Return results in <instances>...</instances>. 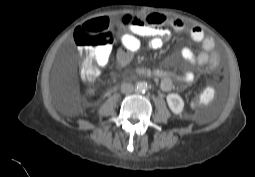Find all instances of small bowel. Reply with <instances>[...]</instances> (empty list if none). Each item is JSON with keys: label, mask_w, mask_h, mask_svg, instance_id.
I'll return each mask as SVG.
<instances>
[{"label": "small bowel", "mask_w": 255, "mask_h": 177, "mask_svg": "<svg viewBox=\"0 0 255 177\" xmlns=\"http://www.w3.org/2000/svg\"><path fill=\"white\" fill-rule=\"evenodd\" d=\"M129 32L121 36V47L117 50L116 59L121 67L127 66L137 53L142 43L140 37H147L148 46L153 50H159L164 47L169 40L171 32L170 28L175 31H188L190 37L195 42L201 43L202 50L195 54L189 47H182L175 56H180L191 65H206L210 64V68L214 69L218 66L220 55L215 50V44L212 37L205 34L203 29L197 25L188 26V24L179 18H168L162 13L151 12L137 18L129 16ZM83 26L79 31H83ZM111 46L100 49L96 52V57L99 65L105 66L110 58ZM138 73L145 76H155L161 79V89L170 91L174 88L173 77L175 73L161 68L156 69H138ZM178 79L183 84H188L194 81L195 74L193 71H186L178 76ZM180 88H183L181 86Z\"/></svg>", "instance_id": "obj_1"}]
</instances>
